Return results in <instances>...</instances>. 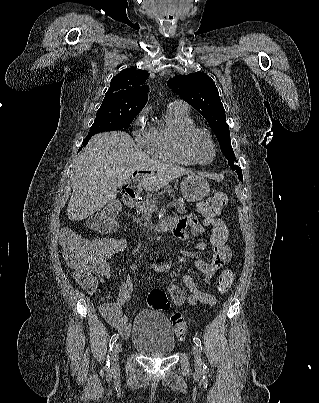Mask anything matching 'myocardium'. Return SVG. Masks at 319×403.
<instances>
[{
  "mask_svg": "<svg viewBox=\"0 0 319 403\" xmlns=\"http://www.w3.org/2000/svg\"><path fill=\"white\" fill-rule=\"evenodd\" d=\"M195 134H203L211 143V146L213 148V155L210 160L200 161V160L196 159L195 156L193 155V153L190 149V141H191V138ZM179 148H180L181 153L187 159H189L192 163L198 164V165H206V164L213 162L217 155V147H216V144H215V141H214L212 135L209 133L208 130H206L203 127L197 126V125L187 127L181 132L180 137H179Z\"/></svg>",
  "mask_w": 319,
  "mask_h": 403,
  "instance_id": "myocardium-1",
  "label": "myocardium"
}]
</instances>
